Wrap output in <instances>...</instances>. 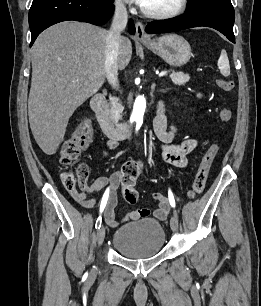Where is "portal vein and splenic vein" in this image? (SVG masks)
<instances>
[{"label":"portal vein and splenic vein","instance_id":"obj_1","mask_svg":"<svg viewBox=\"0 0 261 306\" xmlns=\"http://www.w3.org/2000/svg\"><path fill=\"white\" fill-rule=\"evenodd\" d=\"M167 74V71H162L160 74H159V77H162V76H164V75H166Z\"/></svg>","mask_w":261,"mask_h":306}]
</instances>
